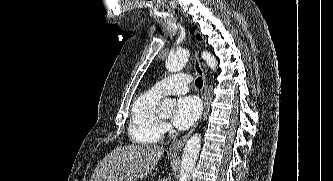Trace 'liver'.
<instances>
[{
	"mask_svg": "<svg viewBox=\"0 0 333 181\" xmlns=\"http://www.w3.org/2000/svg\"><path fill=\"white\" fill-rule=\"evenodd\" d=\"M164 148L151 145H128L115 148L96 166L90 181H136L156 167Z\"/></svg>",
	"mask_w": 333,
	"mask_h": 181,
	"instance_id": "6515ba94",
	"label": "liver"
}]
</instances>
